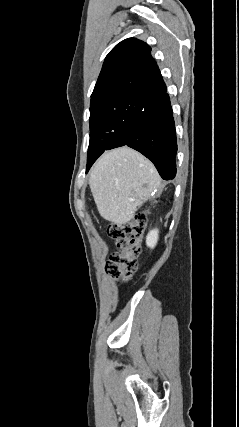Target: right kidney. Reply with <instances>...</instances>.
Returning a JSON list of instances; mask_svg holds the SVG:
<instances>
[{
  "label": "right kidney",
  "mask_w": 239,
  "mask_h": 427,
  "mask_svg": "<svg viewBox=\"0 0 239 427\" xmlns=\"http://www.w3.org/2000/svg\"><path fill=\"white\" fill-rule=\"evenodd\" d=\"M158 233L157 229L151 230L146 237V244L150 248H154L158 241Z\"/></svg>",
  "instance_id": "obj_1"
}]
</instances>
